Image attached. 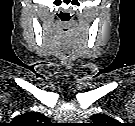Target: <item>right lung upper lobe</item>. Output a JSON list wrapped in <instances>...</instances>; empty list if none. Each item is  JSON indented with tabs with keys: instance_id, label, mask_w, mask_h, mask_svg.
I'll use <instances>...</instances> for the list:
<instances>
[{
	"instance_id": "obj_1",
	"label": "right lung upper lobe",
	"mask_w": 135,
	"mask_h": 126,
	"mask_svg": "<svg viewBox=\"0 0 135 126\" xmlns=\"http://www.w3.org/2000/svg\"><path fill=\"white\" fill-rule=\"evenodd\" d=\"M44 117L42 114L37 112H27L21 115L16 116L13 121L14 122H35L40 121Z\"/></svg>"
}]
</instances>
